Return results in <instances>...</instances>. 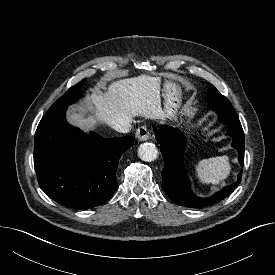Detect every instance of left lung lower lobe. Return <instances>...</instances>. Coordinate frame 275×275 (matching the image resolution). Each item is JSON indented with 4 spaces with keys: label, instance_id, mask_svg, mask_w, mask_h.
I'll return each mask as SVG.
<instances>
[{
    "label": "left lung lower lobe",
    "instance_id": "left-lung-lower-lobe-1",
    "mask_svg": "<svg viewBox=\"0 0 275 275\" xmlns=\"http://www.w3.org/2000/svg\"><path fill=\"white\" fill-rule=\"evenodd\" d=\"M228 127L227 135L233 139L232 147L239 153V162L244 163V132L241 123H224ZM156 140L161 145L164 158L162 171V188L176 204L191 208H199L215 204L231 194L241 181L242 172L238 174L235 183L224 187L219 192L207 198H199L193 194L183 165L186 139L182 132L170 126H160Z\"/></svg>",
    "mask_w": 275,
    "mask_h": 275
}]
</instances>
